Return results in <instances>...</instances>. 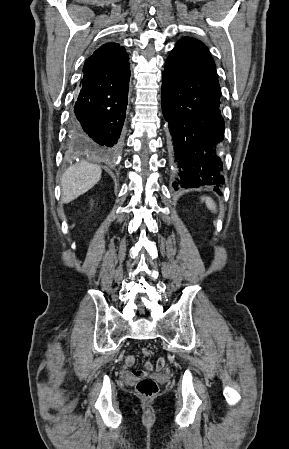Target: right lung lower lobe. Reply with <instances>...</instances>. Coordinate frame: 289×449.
I'll list each match as a JSON object with an SVG mask.
<instances>
[{"instance_id": "right-lung-lower-lobe-1", "label": "right lung lower lobe", "mask_w": 289, "mask_h": 449, "mask_svg": "<svg viewBox=\"0 0 289 449\" xmlns=\"http://www.w3.org/2000/svg\"><path fill=\"white\" fill-rule=\"evenodd\" d=\"M129 77V64L107 74L83 76L72 115V131L104 154H112L121 142Z\"/></svg>"}]
</instances>
